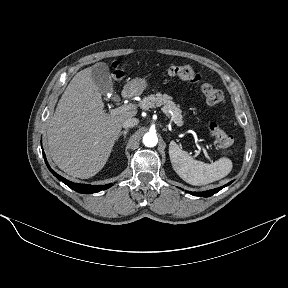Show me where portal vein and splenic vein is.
<instances>
[{"mask_svg": "<svg viewBox=\"0 0 288 288\" xmlns=\"http://www.w3.org/2000/svg\"><path fill=\"white\" fill-rule=\"evenodd\" d=\"M135 109V106L133 104H126V105H122L118 108H115V109H112L110 110V113L111 114H119V113H122V112H125V111H131V110H134ZM201 150H203V153L205 155L206 158H209L207 152L205 149H202L200 146H198V150L196 151V154L198 155Z\"/></svg>", "mask_w": 288, "mask_h": 288, "instance_id": "obj_1", "label": "portal vein and splenic vein"}]
</instances>
